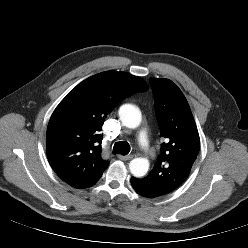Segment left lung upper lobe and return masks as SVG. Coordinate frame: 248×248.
<instances>
[{"mask_svg": "<svg viewBox=\"0 0 248 248\" xmlns=\"http://www.w3.org/2000/svg\"><path fill=\"white\" fill-rule=\"evenodd\" d=\"M160 127L161 154L144 178L138 179L158 196L166 195L189 176L200 149V139L188 102L169 79L150 78Z\"/></svg>", "mask_w": 248, "mask_h": 248, "instance_id": "obj_1", "label": "left lung upper lobe"}]
</instances>
